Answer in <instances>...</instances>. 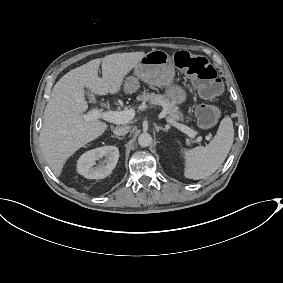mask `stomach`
Wrapping results in <instances>:
<instances>
[{
	"label": "stomach",
	"mask_w": 283,
	"mask_h": 283,
	"mask_svg": "<svg viewBox=\"0 0 283 283\" xmlns=\"http://www.w3.org/2000/svg\"><path fill=\"white\" fill-rule=\"evenodd\" d=\"M136 77H129L126 81V91L133 93L138 88V79L149 85L163 88L164 96L173 106L186 103L188 93L186 89L175 81L176 69L171 56L164 50H152L145 54L135 68ZM178 120L182 114L176 115Z\"/></svg>",
	"instance_id": "obj_1"
}]
</instances>
